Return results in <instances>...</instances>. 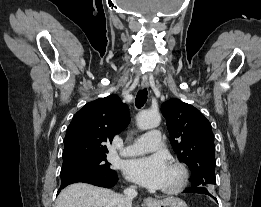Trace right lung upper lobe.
<instances>
[{"label":"right lung upper lobe","mask_w":261,"mask_h":207,"mask_svg":"<svg viewBox=\"0 0 261 207\" xmlns=\"http://www.w3.org/2000/svg\"><path fill=\"white\" fill-rule=\"evenodd\" d=\"M129 124V109L116 95L87 103L72 118L64 139L63 161L80 156L103 155L105 142Z\"/></svg>","instance_id":"1"}]
</instances>
